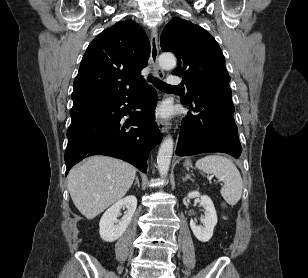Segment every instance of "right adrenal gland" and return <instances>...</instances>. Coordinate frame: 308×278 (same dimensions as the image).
<instances>
[{
    "label": "right adrenal gland",
    "mask_w": 308,
    "mask_h": 278,
    "mask_svg": "<svg viewBox=\"0 0 308 278\" xmlns=\"http://www.w3.org/2000/svg\"><path fill=\"white\" fill-rule=\"evenodd\" d=\"M135 183H134V186L137 184L138 185V187H140V183H139V179H138V176H136V178H135Z\"/></svg>",
    "instance_id": "right-adrenal-gland-1"
}]
</instances>
